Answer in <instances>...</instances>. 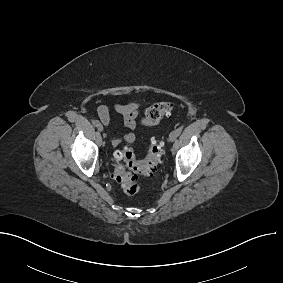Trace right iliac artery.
<instances>
[{"mask_svg": "<svg viewBox=\"0 0 283 283\" xmlns=\"http://www.w3.org/2000/svg\"><path fill=\"white\" fill-rule=\"evenodd\" d=\"M92 124L97 127L98 125H100V122L98 120H93Z\"/></svg>", "mask_w": 283, "mask_h": 283, "instance_id": "obj_1", "label": "right iliac artery"}]
</instances>
